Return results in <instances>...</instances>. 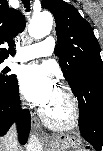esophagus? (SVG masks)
<instances>
[{
	"instance_id": "esophagus-1",
	"label": "esophagus",
	"mask_w": 103,
	"mask_h": 151,
	"mask_svg": "<svg viewBox=\"0 0 103 151\" xmlns=\"http://www.w3.org/2000/svg\"><path fill=\"white\" fill-rule=\"evenodd\" d=\"M32 128H33V131L40 137V138H46V136L41 132L38 124H37V121L35 118H32Z\"/></svg>"
}]
</instances>
